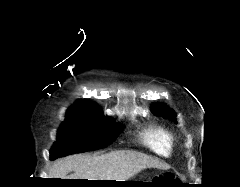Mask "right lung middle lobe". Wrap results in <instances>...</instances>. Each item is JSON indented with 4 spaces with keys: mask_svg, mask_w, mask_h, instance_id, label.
<instances>
[{
    "mask_svg": "<svg viewBox=\"0 0 240 187\" xmlns=\"http://www.w3.org/2000/svg\"><path fill=\"white\" fill-rule=\"evenodd\" d=\"M122 126L105 118L101 113L67 112L66 120L57 133L50 150V159L77 152L103 148L122 131Z\"/></svg>",
    "mask_w": 240,
    "mask_h": 187,
    "instance_id": "dd1d6c3e",
    "label": "right lung middle lobe"
}]
</instances>
